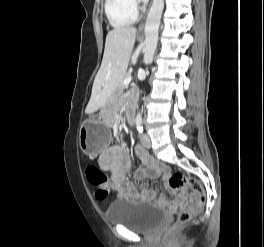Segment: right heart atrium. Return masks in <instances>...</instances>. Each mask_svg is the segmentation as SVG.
<instances>
[{
    "label": "right heart atrium",
    "instance_id": "1",
    "mask_svg": "<svg viewBox=\"0 0 264 247\" xmlns=\"http://www.w3.org/2000/svg\"><path fill=\"white\" fill-rule=\"evenodd\" d=\"M128 3H129V5H130L132 8H134V9H136V8L138 7V2H137V0H128Z\"/></svg>",
    "mask_w": 264,
    "mask_h": 247
}]
</instances>
